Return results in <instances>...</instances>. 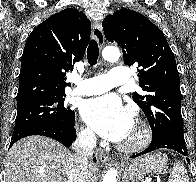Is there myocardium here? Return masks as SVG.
Here are the masks:
<instances>
[{"mask_svg":"<svg viewBox=\"0 0 196 182\" xmlns=\"http://www.w3.org/2000/svg\"><path fill=\"white\" fill-rule=\"evenodd\" d=\"M137 136L130 143H123L119 146L124 152H138L144 149L151 141L152 132L150 126L143 120L136 121Z\"/></svg>","mask_w":196,"mask_h":182,"instance_id":"myocardium-1","label":"myocardium"}]
</instances>
